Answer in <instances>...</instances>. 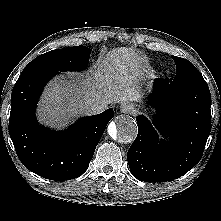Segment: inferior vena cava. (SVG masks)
I'll use <instances>...</instances> for the list:
<instances>
[{"label":"inferior vena cava","mask_w":221,"mask_h":221,"mask_svg":"<svg viewBox=\"0 0 221 221\" xmlns=\"http://www.w3.org/2000/svg\"><path fill=\"white\" fill-rule=\"evenodd\" d=\"M107 105L104 101H97L89 106V111L91 114H99L107 109Z\"/></svg>","instance_id":"1"}]
</instances>
